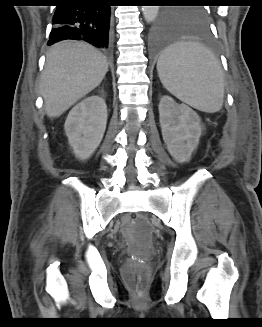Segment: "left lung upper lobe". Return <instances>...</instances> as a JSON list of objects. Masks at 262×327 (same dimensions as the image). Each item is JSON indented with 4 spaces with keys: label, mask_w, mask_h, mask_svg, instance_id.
Returning <instances> with one entry per match:
<instances>
[{
    "label": "left lung upper lobe",
    "mask_w": 262,
    "mask_h": 327,
    "mask_svg": "<svg viewBox=\"0 0 262 327\" xmlns=\"http://www.w3.org/2000/svg\"><path fill=\"white\" fill-rule=\"evenodd\" d=\"M181 2L198 3L199 0H184ZM165 18L176 26H207L206 11L201 6H194L182 9H168L163 14Z\"/></svg>",
    "instance_id": "obj_1"
}]
</instances>
